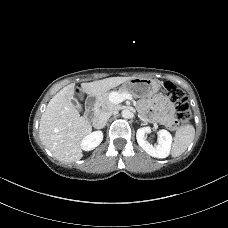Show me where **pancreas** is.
<instances>
[{
	"label": "pancreas",
	"mask_w": 228,
	"mask_h": 228,
	"mask_svg": "<svg viewBox=\"0 0 228 228\" xmlns=\"http://www.w3.org/2000/svg\"><path fill=\"white\" fill-rule=\"evenodd\" d=\"M113 93H118V94H124L129 92L126 89L120 88L118 91H111L109 93H106L100 97H98L96 101L97 107H101L102 111L106 112H112L116 109V104L111 102V95Z\"/></svg>",
	"instance_id": "pancreas-1"
}]
</instances>
